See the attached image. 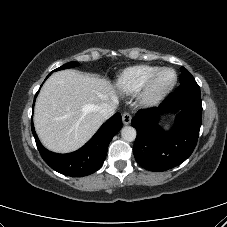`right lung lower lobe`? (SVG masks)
<instances>
[{
    "instance_id": "1",
    "label": "right lung lower lobe",
    "mask_w": 227,
    "mask_h": 227,
    "mask_svg": "<svg viewBox=\"0 0 227 227\" xmlns=\"http://www.w3.org/2000/svg\"><path fill=\"white\" fill-rule=\"evenodd\" d=\"M121 126V115L116 113L100 127L82 148L69 154H57L42 146L35 133L33 122H31L32 133L43 160L55 171L71 177L87 176L102 166L108 145Z\"/></svg>"
}]
</instances>
